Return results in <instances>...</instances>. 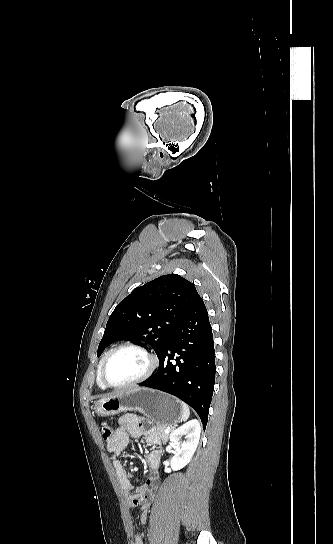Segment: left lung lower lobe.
Segmentation results:
<instances>
[{"instance_id": "obj_1", "label": "left lung lower lobe", "mask_w": 333, "mask_h": 544, "mask_svg": "<svg viewBox=\"0 0 333 544\" xmlns=\"http://www.w3.org/2000/svg\"><path fill=\"white\" fill-rule=\"evenodd\" d=\"M158 358L157 372L139 385L178 397L197 412L205 428L216 366L212 328L201 297L179 322Z\"/></svg>"}]
</instances>
